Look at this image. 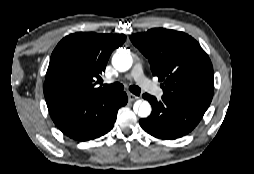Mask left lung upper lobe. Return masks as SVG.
I'll use <instances>...</instances> for the list:
<instances>
[{"instance_id":"obj_1","label":"left lung upper lobe","mask_w":254,"mask_h":174,"mask_svg":"<svg viewBox=\"0 0 254 174\" xmlns=\"http://www.w3.org/2000/svg\"><path fill=\"white\" fill-rule=\"evenodd\" d=\"M161 81L163 97L207 110L214 90L213 67L199 43L186 33L151 29L130 36Z\"/></svg>"}]
</instances>
